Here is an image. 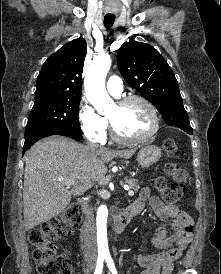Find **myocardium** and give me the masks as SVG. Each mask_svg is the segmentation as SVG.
<instances>
[{
    "label": "myocardium",
    "mask_w": 221,
    "mask_h": 274,
    "mask_svg": "<svg viewBox=\"0 0 221 274\" xmlns=\"http://www.w3.org/2000/svg\"><path fill=\"white\" fill-rule=\"evenodd\" d=\"M133 102H140L148 109L151 117V126L149 131L145 135L138 138H127V137L121 136L117 132L113 122L111 121L110 118H108L111 136L116 142L121 144L136 145V144H142V143L148 142L150 139L153 138V136L156 134V132L159 129V116H158L157 109L153 105V103L150 102L145 97L140 95H129L119 99L116 102V105L119 107H123Z\"/></svg>",
    "instance_id": "f54148a6"
}]
</instances>
